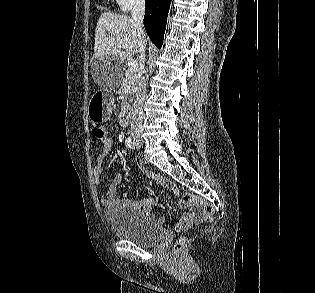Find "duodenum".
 Instances as JSON below:
<instances>
[{
  "label": "duodenum",
  "mask_w": 315,
  "mask_h": 293,
  "mask_svg": "<svg viewBox=\"0 0 315 293\" xmlns=\"http://www.w3.org/2000/svg\"><path fill=\"white\" fill-rule=\"evenodd\" d=\"M131 121V112L128 107H124L120 115V123L122 126H127Z\"/></svg>",
  "instance_id": "410a0bca"
}]
</instances>
